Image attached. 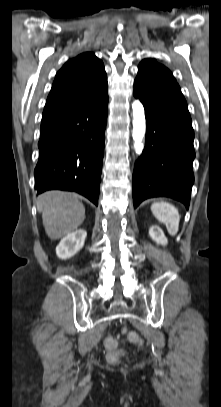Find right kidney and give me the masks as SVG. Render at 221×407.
Returning <instances> with one entry per match:
<instances>
[{
  "label": "right kidney",
  "mask_w": 221,
  "mask_h": 407,
  "mask_svg": "<svg viewBox=\"0 0 221 407\" xmlns=\"http://www.w3.org/2000/svg\"><path fill=\"white\" fill-rule=\"evenodd\" d=\"M87 232L84 229L76 230L66 235L56 247V254L61 259L74 256L84 245Z\"/></svg>",
  "instance_id": "ca27d5eb"
}]
</instances>
